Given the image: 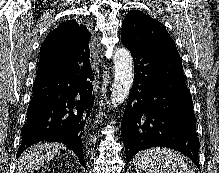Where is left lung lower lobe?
I'll use <instances>...</instances> for the list:
<instances>
[{
    "instance_id": "left-lung-lower-lobe-1",
    "label": "left lung lower lobe",
    "mask_w": 219,
    "mask_h": 173,
    "mask_svg": "<svg viewBox=\"0 0 219 173\" xmlns=\"http://www.w3.org/2000/svg\"><path fill=\"white\" fill-rule=\"evenodd\" d=\"M134 58V84L121 123L127 163L141 150L168 147L199 168L192 97L178 51L125 45Z\"/></svg>"
}]
</instances>
